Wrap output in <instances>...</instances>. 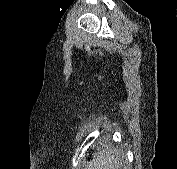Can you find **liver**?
I'll list each match as a JSON object with an SVG mask.
<instances>
[{"label":"liver","instance_id":"obj_1","mask_svg":"<svg viewBox=\"0 0 177 169\" xmlns=\"http://www.w3.org/2000/svg\"><path fill=\"white\" fill-rule=\"evenodd\" d=\"M115 154L111 149L103 150L89 162L85 169H121L122 161Z\"/></svg>","mask_w":177,"mask_h":169}]
</instances>
